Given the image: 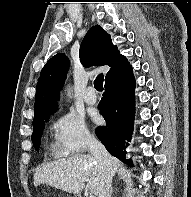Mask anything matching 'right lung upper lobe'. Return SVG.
Returning <instances> with one entry per match:
<instances>
[{"label":"right lung upper lobe","instance_id":"1","mask_svg":"<svg viewBox=\"0 0 191 197\" xmlns=\"http://www.w3.org/2000/svg\"><path fill=\"white\" fill-rule=\"evenodd\" d=\"M79 58L85 67L110 66L105 82L131 68L127 59L113 45L110 35L99 25L93 26L85 35ZM69 63L68 57L60 53L50 58L41 70L35 95L33 126L45 120L47 115L55 110V101L66 79Z\"/></svg>","mask_w":191,"mask_h":197}]
</instances>
